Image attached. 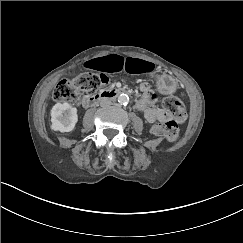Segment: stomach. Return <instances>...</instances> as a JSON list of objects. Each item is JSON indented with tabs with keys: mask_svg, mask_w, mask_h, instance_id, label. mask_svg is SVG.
Segmentation results:
<instances>
[{
	"mask_svg": "<svg viewBox=\"0 0 243 243\" xmlns=\"http://www.w3.org/2000/svg\"><path fill=\"white\" fill-rule=\"evenodd\" d=\"M159 90L164 94H173L177 88L176 81L168 75H154Z\"/></svg>",
	"mask_w": 243,
	"mask_h": 243,
	"instance_id": "0dacf381",
	"label": "stomach"
}]
</instances>
